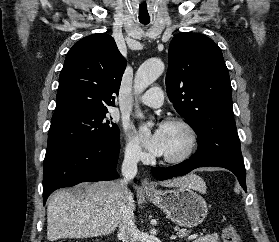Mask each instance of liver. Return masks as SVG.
<instances>
[{"label": "liver", "instance_id": "1", "mask_svg": "<svg viewBox=\"0 0 279 242\" xmlns=\"http://www.w3.org/2000/svg\"><path fill=\"white\" fill-rule=\"evenodd\" d=\"M165 187H189L206 192L204 181L189 175L161 183ZM84 196L59 190L48 199L47 239L90 238L115 231L121 215V187L116 181L83 184ZM132 208L135 201L132 199Z\"/></svg>", "mask_w": 279, "mask_h": 242}]
</instances>
